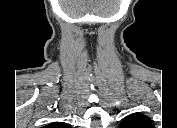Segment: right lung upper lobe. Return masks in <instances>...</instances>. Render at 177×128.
Returning <instances> with one entry per match:
<instances>
[{
  "instance_id": "right-lung-upper-lobe-1",
  "label": "right lung upper lobe",
  "mask_w": 177,
  "mask_h": 128,
  "mask_svg": "<svg viewBox=\"0 0 177 128\" xmlns=\"http://www.w3.org/2000/svg\"><path fill=\"white\" fill-rule=\"evenodd\" d=\"M47 128H68L70 125L63 122H53L46 126Z\"/></svg>"
}]
</instances>
